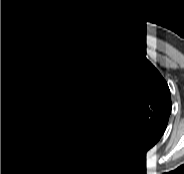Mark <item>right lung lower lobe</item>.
I'll use <instances>...</instances> for the list:
<instances>
[{"label": "right lung lower lobe", "instance_id": "98d812e1", "mask_svg": "<svg viewBox=\"0 0 184 174\" xmlns=\"http://www.w3.org/2000/svg\"><path fill=\"white\" fill-rule=\"evenodd\" d=\"M81 119L77 118L62 130L51 136L35 140L40 146L53 150H65L77 139L80 130Z\"/></svg>", "mask_w": 184, "mask_h": 174}]
</instances>
